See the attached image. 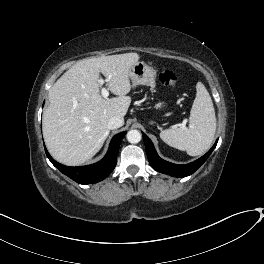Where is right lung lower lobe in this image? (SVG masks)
Segmentation results:
<instances>
[{"instance_id":"obj_1","label":"right lung lower lobe","mask_w":264,"mask_h":264,"mask_svg":"<svg viewBox=\"0 0 264 264\" xmlns=\"http://www.w3.org/2000/svg\"><path fill=\"white\" fill-rule=\"evenodd\" d=\"M125 134L126 131L115 135L111 140L108 152L105 155V157L99 162L87 166H80V167L65 166L56 162L50 156L46 148H45V152L51 163L63 174L67 175L68 177H70L72 180H74L79 184H93L103 180L115 168L120 143Z\"/></svg>"}]
</instances>
